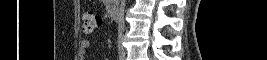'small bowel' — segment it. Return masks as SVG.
I'll return each instance as SVG.
<instances>
[{
  "label": "small bowel",
  "mask_w": 267,
  "mask_h": 60,
  "mask_svg": "<svg viewBox=\"0 0 267 60\" xmlns=\"http://www.w3.org/2000/svg\"><path fill=\"white\" fill-rule=\"evenodd\" d=\"M82 44H83L84 49H87L88 46H89V41H88V40H84V41L82 42Z\"/></svg>",
  "instance_id": "small-bowel-1"
}]
</instances>
